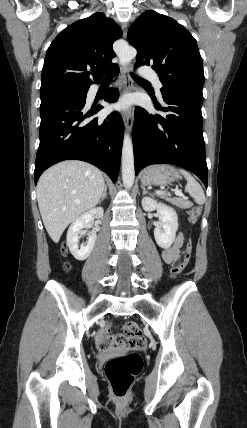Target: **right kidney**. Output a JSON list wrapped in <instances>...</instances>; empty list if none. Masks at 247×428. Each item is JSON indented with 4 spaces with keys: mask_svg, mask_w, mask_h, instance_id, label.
<instances>
[{
    "mask_svg": "<svg viewBox=\"0 0 247 428\" xmlns=\"http://www.w3.org/2000/svg\"><path fill=\"white\" fill-rule=\"evenodd\" d=\"M104 213V210L102 207H96L94 209H91L78 217L69 227L67 231V245L69 247V250L71 254L74 256L75 259L79 261H83L88 258V256L91 254L97 235L95 231H92L88 235V241L86 245H81L79 248V233L80 230L84 227H87L94 219L95 217H102Z\"/></svg>",
    "mask_w": 247,
    "mask_h": 428,
    "instance_id": "1",
    "label": "right kidney"
}]
</instances>
